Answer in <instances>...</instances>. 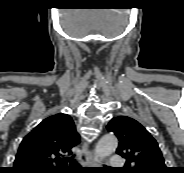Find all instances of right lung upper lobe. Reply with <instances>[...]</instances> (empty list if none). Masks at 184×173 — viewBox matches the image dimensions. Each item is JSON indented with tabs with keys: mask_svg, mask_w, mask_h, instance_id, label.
<instances>
[{
	"mask_svg": "<svg viewBox=\"0 0 184 173\" xmlns=\"http://www.w3.org/2000/svg\"><path fill=\"white\" fill-rule=\"evenodd\" d=\"M80 143L72 118L56 114L43 120L21 142L13 173H66L67 156Z\"/></svg>",
	"mask_w": 184,
	"mask_h": 173,
	"instance_id": "right-lung-upper-lobe-1",
	"label": "right lung upper lobe"
}]
</instances>
